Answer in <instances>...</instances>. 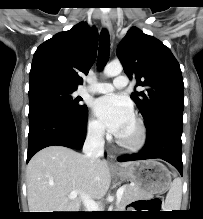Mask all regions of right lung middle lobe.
Segmentation results:
<instances>
[{
    "instance_id": "right-lung-middle-lobe-1",
    "label": "right lung middle lobe",
    "mask_w": 203,
    "mask_h": 219,
    "mask_svg": "<svg viewBox=\"0 0 203 219\" xmlns=\"http://www.w3.org/2000/svg\"><path fill=\"white\" fill-rule=\"evenodd\" d=\"M76 89L55 81L29 83V106H51L72 116L82 115L87 112V107L79 104L80 96L72 95Z\"/></svg>"
}]
</instances>
